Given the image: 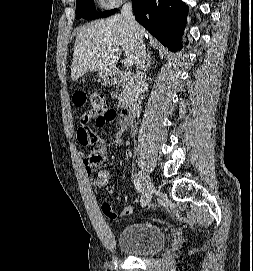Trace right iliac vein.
<instances>
[{
    "label": "right iliac vein",
    "mask_w": 253,
    "mask_h": 271,
    "mask_svg": "<svg viewBox=\"0 0 253 271\" xmlns=\"http://www.w3.org/2000/svg\"><path fill=\"white\" fill-rule=\"evenodd\" d=\"M141 177H142L143 185H144L142 206L146 207L149 205L152 199L154 186L151 179L147 175L143 174Z\"/></svg>",
    "instance_id": "right-iliac-vein-1"
}]
</instances>
